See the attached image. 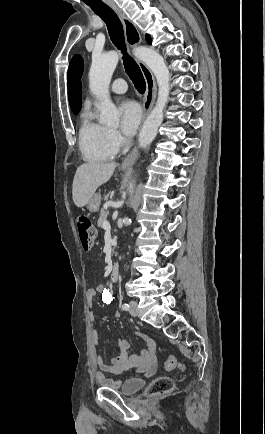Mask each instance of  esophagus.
Listing matches in <instances>:
<instances>
[{
  "label": "esophagus",
  "mask_w": 265,
  "mask_h": 434,
  "mask_svg": "<svg viewBox=\"0 0 265 434\" xmlns=\"http://www.w3.org/2000/svg\"><path fill=\"white\" fill-rule=\"evenodd\" d=\"M109 7H111L122 20L124 25L126 41L130 45V47L134 48L141 43V35L139 30L134 25L131 20H129L126 15H124L114 3H108ZM139 67L143 74V77L146 82V93L143 98V116H142V124L145 122L147 116L149 115L152 107L154 106L156 100L157 87L156 82L154 80V76L151 70L140 60H138ZM139 153L137 147H134L129 154L123 160L121 167H131L133 163L138 159Z\"/></svg>",
  "instance_id": "obj_1"
}]
</instances>
